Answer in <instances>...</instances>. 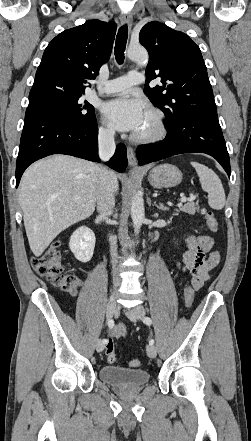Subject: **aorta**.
I'll return each instance as SVG.
<instances>
[{
    "mask_svg": "<svg viewBox=\"0 0 251 441\" xmlns=\"http://www.w3.org/2000/svg\"><path fill=\"white\" fill-rule=\"evenodd\" d=\"M127 56L139 65H146L149 59L148 53L143 47H130ZM131 218L135 235H138L144 222L145 211L143 197L137 193L131 199Z\"/></svg>",
    "mask_w": 251,
    "mask_h": 441,
    "instance_id": "obj_1",
    "label": "aorta"
}]
</instances>
